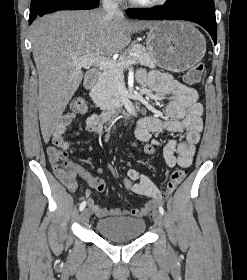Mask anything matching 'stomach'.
<instances>
[{
  "instance_id": "stomach-1",
  "label": "stomach",
  "mask_w": 247,
  "mask_h": 280,
  "mask_svg": "<svg viewBox=\"0 0 247 280\" xmlns=\"http://www.w3.org/2000/svg\"><path fill=\"white\" fill-rule=\"evenodd\" d=\"M146 46L154 61L171 72H183L205 55L206 41L192 24L182 21L154 22Z\"/></svg>"
}]
</instances>
